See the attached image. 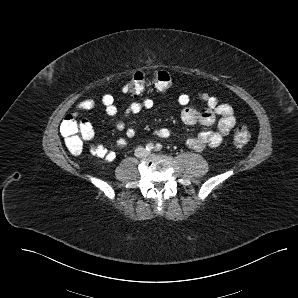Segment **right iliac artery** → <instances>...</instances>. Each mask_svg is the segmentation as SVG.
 <instances>
[{
	"instance_id": "right-iliac-artery-1",
	"label": "right iliac artery",
	"mask_w": 298,
	"mask_h": 298,
	"mask_svg": "<svg viewBox=\"0 0 298 298\" xmlns=\"http://www.w3.org/2000/svg\"><path fill=\"white\" fill-rule=\"evenodd\" d=\"M154 149V145L152 144V143H148L147 145H146V150L147 151H152Z\"/></svg>"
}]
</instances>
